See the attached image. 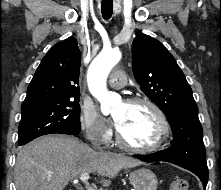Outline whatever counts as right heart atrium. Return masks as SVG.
Masks as SVG:
<instances>
[{"mask_svg": "<svg viewBox=\"0 0 221 190\" xmlns=\"http://www.w3.org/2000/svg\"><path fill=\"white\" fill-rule=\"evenodd\" d=\"M80 125L86 137L100 145H106L111 138V129L99 115L96 108L89 104H83L80 110Z\"/></svg>", "mask_w": 221, "mask_h": 190, "instance_id": "d8ad5b80", "label": "right heart atrium"}]
</instances>
